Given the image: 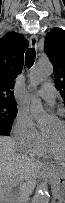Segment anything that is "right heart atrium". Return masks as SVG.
<instances>
[{
  "mask_svg": "<svg viewBox=\"0 0 65 203\" xmlns=\"http://www.w3.org/2000/svg\"><path fill=\"white\" fill-rule=\"evenodd\" d=\"M12 135L16 141V147L25 153H30L45 141L32 118L25 112L17 114L12 127Z\"/></svg>",
  "mask_w": 65,
  "mask_h": 203,
  "instance_id": "d8ad5b80",
  "label": "right heart atrium"
}]
</instances>
